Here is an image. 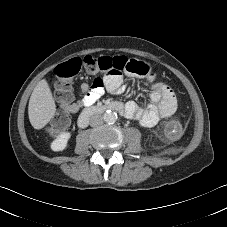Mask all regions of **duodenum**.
I'll return each instance as SVG.
<instances>
[{
	"label": "duodenum",
	"mask_w": 227,
	"mask_h": 227,
	"mask_svg": "<svg viewBox=\"0 0 227 227\" xmlns=\"http://www.w3.org/2000/svg\"><path fill=\"white\" fill-rule=\"evenodd\" d=\"M108 110H113V111H117L121 114H125L124 106L117 102H111V103L97 105V106L86 109L80 115L79 120H78V126L80 128H85L89 124L90 119L95 114L102 113V112H105Z\"/></svg>",
	"instance_id": "410a0bca"
}]
</instances>
